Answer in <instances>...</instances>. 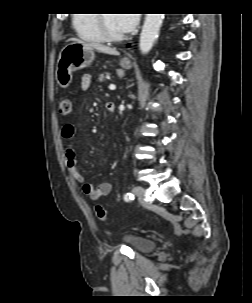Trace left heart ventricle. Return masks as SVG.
Segmentation results:
<instances>
[{
  "instance_id": "1",
  "label": "left heart ventricle",
  "mask_w": 252,
  "mask_h": 303,
  "mask_svg": "<svg viewBox=\"0 0 252 303\" xmlns=\"http://www.w3.org/2000/svg\"><path fill=\"white\" fill-rule=\"evenodd\" d=\"M115 15L116 14H105L106 26L111 32H113L115 34H123L125 32L121 28V26L117 20V17Z\"/></svg>"
}]
</instances>
